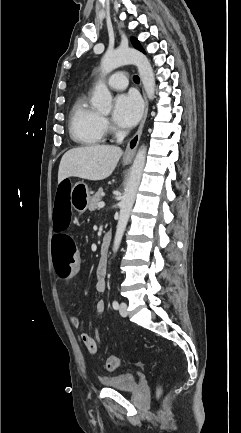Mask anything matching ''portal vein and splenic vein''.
I'll return each instance as SVG.
<instances>
[{
  "label": "portal vein and splenic vein",
  "instance_id": "1",
  "mask_svg": "<svg viewBox=\"0 0 241 433\" xmlns=\"http://www.w3.org/2000/svg\"><path fill=\"white\" fill-rule=\"evenodd\" d=\"M105 206V203L104 202H99L98 203V208H103Z\"/></svg>",
  "mask_w": 241,
  "mask_h": 433
}]
</instances>
